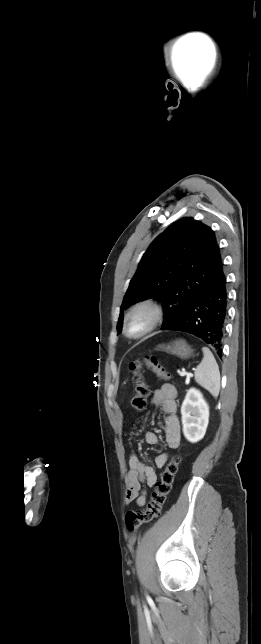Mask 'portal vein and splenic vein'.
Wrapping results in <instances>:
<instances>
[{"mask_svg":"<svg viewBox=\"0 0 261 644\" xmlns=\"http://www.w3.org/2000/svg\"><path fill=\"white\" fill-rule=\"evenodd\" d=\"M179 375H180L181 377H184V376L191 377V376H192V373H187V372H185V371H179Z\"/></svg>","mask_w":261,"mask_h":644,"instance_id":"18ae733b","label":"portal vein and splenic vein"}]
</instances>
